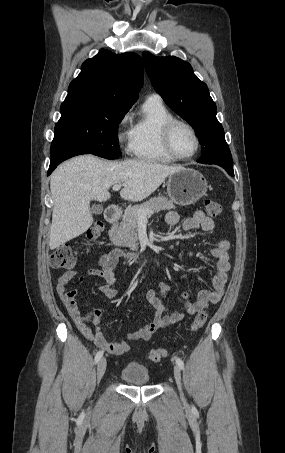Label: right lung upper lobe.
<instances>
[{
  "instance_id": "cb5924a9",
  "label": "right lung upper lobe",
  "mask_w": 285,
  "mask_h": 453,
  "mask_svg": "<svg viewBox=\"0 0 285 453\" xmlns=\"http://www.w3.org/2000/svg\"><path fill=\"white\" fill-rule=\"evenodd\" d=\"M143 85V62L135 53L100 50L81 66L63 103H101L129 109Z\"/></svg>"
}]
</instances>
